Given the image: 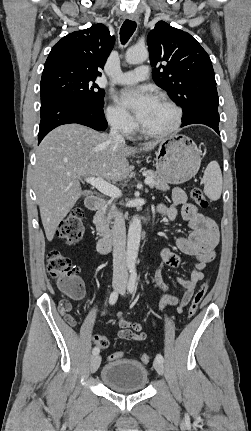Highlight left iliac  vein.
I'll list each match as a JSON object with an SVG mask.
<instances>
[{
  "mask_svg": "<svg viewBox=\"0 0 251 431\" xmlns=\"http://www.w3.org/2000/svg\"><path fill=\"white\" fill-rule=\"evenodd\" d=\"M120 294H121V295H124V294H125V285H124V284H122V285H121V287H120ZM153 366H154L155 370H156L160 375H163V374H164V365H163V363H162L161 361H159V360L155 359V360H154V363H153Z\"/></svg>",
  "mask_w": 251,
  "mask_h": 431,
  "instance_id": "1",
  "label": "left iliac vein"
}]
</instances>
